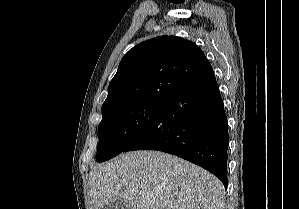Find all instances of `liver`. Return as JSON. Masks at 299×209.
I'll list each match as a JSON object with an SVG mask.
<instances>
[{
	"label": "liver",
	"mask_w": 299,
	"mask_h": 209,
	"mask_svg": "<svg viewBox=\"0 0 299 209\" xmlns=\"http://www.w3.org/2000/svg\"><path fill=\"white\" fill-rule=\"evenodd\" d=\"M91 209L123 199L133 209H224L225 191L210 172L159 151H133L89 173Z\"/></svg>",
	"instance_id": "6515ba94"
}]
</instances>
